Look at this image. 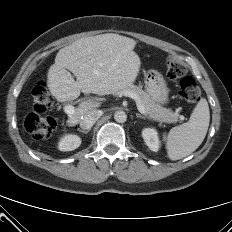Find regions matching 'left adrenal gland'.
<instances>
[{"label": "left adrenal gland", "mask_w": 232, "mask_h": 232, "mask_svg": "<svg viewBox=\"0 0 232 232\" xmlns=\"http://www.w3.org/2000/svg\"><path fill=\"white\" fill-rule=\"evenodd\" d=\"M136 117L137 118H141V119H146L143 115L139 114V113H136Z\"/></svg>", "instance_id": "1"}]
</instances>
